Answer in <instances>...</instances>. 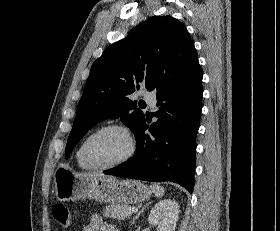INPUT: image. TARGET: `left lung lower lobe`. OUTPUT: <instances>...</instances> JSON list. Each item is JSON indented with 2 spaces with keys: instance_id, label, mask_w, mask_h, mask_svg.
Segmentation results:
<instances>
[{
  "instance_id": "1",
  "label": "left lung lower lobe",
  "mask_w": 280,
  "mask_h": 231,
  "mask_svg": "<svg viewBox=\"0 0 280 231\" xmlns=\"http://www.w3.org/2000/svg\"><path fill=\"white\" fill-rule=\"evenodd\" d=\"M200 66L186 79L157 92L158 120L149 132L145 116L134 131L136 151L127 162L104 171L123 178L161 182L171 181L192 193L196 134L202 110Z\"/></svg>"
}]
</instances>
